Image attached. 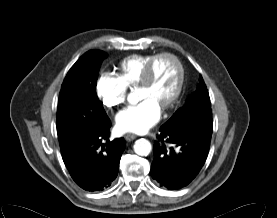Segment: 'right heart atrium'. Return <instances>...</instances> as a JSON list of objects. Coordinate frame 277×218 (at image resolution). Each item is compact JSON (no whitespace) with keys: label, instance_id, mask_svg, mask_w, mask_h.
I'll return each mask as SVG.
<instances>
[{"label":"right heart atrium","instance_id":"1","mask_svg":"<svg viewBox=\"0 0 277 218\" xmlns=\"http://www.w3.org/2000/svg\"><path fill=\"white\" fill-rule=\"evenodd\" d=\"M96 92L106 107L113 108L126 101L128 86L121 77L103 72L97 80Z\"/></svg>","mask_w":277,"mask_h":218}]
</instances>
